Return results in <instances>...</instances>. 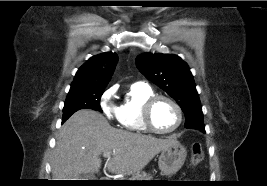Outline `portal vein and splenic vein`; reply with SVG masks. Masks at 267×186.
<instances>
[{"instance_id":"1","label":"portal vein and splenic vein","mask_w":267,"mask_h":186,"mask_svg":"<svg viewBox=\"0 0 267 186\" xmlns=\"http://www.w3.org/2000/svg\"><path fill=\"white\" fill-rule=\"evenodd\" d=\"M112 155V152H104L103 157L109 158Z\"/></svg>"}]
</instances>
